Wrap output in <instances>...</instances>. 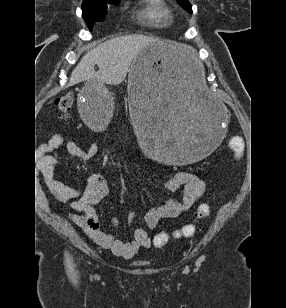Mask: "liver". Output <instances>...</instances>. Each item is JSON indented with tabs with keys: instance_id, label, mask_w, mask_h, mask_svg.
I'll use <instances>...</instances> for the list:
<instances>
[{
	"instance_id": "1",
	"label": "liver",
	"mask_w": 286,
	"mask_h": 308,
	"mask_svg": "<svg viewBox=\"0 0 286 308\" xmlns=\"http://www.w3.org/2000/svg\"><path fill=\"white\" fill-rule=\"evenodd\" d=\"M156 43L161 44L168 55L188 64L195 54L194 49L188 45L163 42L141 34L116 37L91 49L82 57L72 71L69 85L90 79L100 84L119 85L126 78L137 54L146 46ZM95 65L99 68L97 72Z\"/></svg>"
}]
</instances>
